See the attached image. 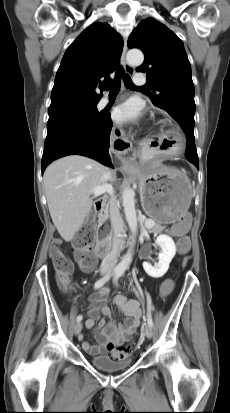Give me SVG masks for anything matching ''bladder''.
<instances>
[{"mask_svg":"<svg viewBox=\"0 0 230 413\" xmlns=\"http://www.w3.org/2000/svg\"><path fill=\"white\" fill-rule=\"evenodd\" d=\"M93 366L105 372H117L129 368L133 360L126 358L122 360H113L109 356H94L90 359Z\"/></svg>","mask_w":230,"mask_h":413,"instance_id":"bladder-1","label":"bladder"}]
</instances>
